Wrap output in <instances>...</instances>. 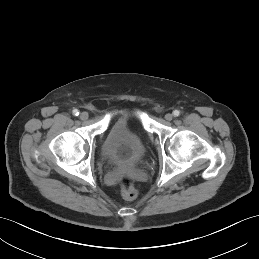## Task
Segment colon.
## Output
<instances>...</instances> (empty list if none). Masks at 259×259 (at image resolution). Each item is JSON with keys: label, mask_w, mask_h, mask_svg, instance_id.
<instances>
[{"label": "colon", "mask_w": 259, "mask_h": 259, "mask_svg": "<svg viewBox=\"0 0 259 259\" xmlns=\"http://www.w3.org/2000/svg\"><path fill=\"white\" fill-rule=\"evenodd\" d=\"M119 183H120L121 193L126 199H135L138 196L139 191L135 187L134 179L132 178V176L123 175L120 178Z\"/></svg>", "instance_id": "colon-1"}]
</instances>
